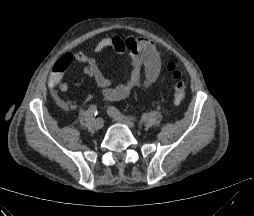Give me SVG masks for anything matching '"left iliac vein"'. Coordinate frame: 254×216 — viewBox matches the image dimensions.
<instances>
[{
  "label": "left iliac vein",
  "mask_w": 254,
  "mask_h": 216,
  "mask_svg": "<svg viewBox=\"0 0 254 216\" xmlns=\"http://www.w3.org/2000/svg\"><path fill=\"white\" fill-rule=\"evenodd\" d=\"M108 114L117 122L119 123H123V124H126L127 126L133 128L134 127V124L133 122L128 119V118H122V117H118L116 115H114L113 113H111L110 111H108Z\"/></svg>",
  "instance_id": "left-iliac-vein-1"
}]
</instances>
